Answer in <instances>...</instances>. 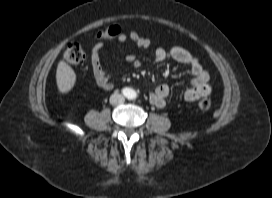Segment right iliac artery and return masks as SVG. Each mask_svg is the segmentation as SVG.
I'll list each match as a JSON object with an SVG mask.
<instances>
[{
  "label": "right iliac artery",
  "instance_id": "1",
  "mask_svg": "<svg viewBox=\"0 0 272 198\" xmlns=\"http://www.w3.org/2000/svg\"><path fill=\"white\" fill-rule=\"evenodd\" d=\"M127 91H128L127 89H124L123 94H127Z\"/></svg>",
  "mask_w": 272,
  "mask_h": 198
}]
</instances>
